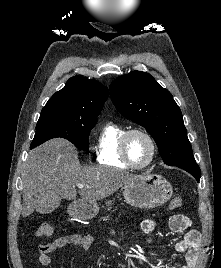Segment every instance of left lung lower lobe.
Returning <instances> with one entry per match:
<instances>
[{
	"label": "left lung lower lobe",
	"mask_w": 221,
	"mask_h": 268,
	"mask_svg": "<svg viewBox=\"0 0 221 268\" xmlns=\"http://www.w3.org/2000/svg\"><path fill=\"white\" fill-rule=\"evenodd\" d=\"M177 167L189 172L191 175H193L197 182L200 180V168L196 162L193 163H183L177 165Z\"/></svg>",
	"instance_id": "0a47b994"
}]
</instances>
